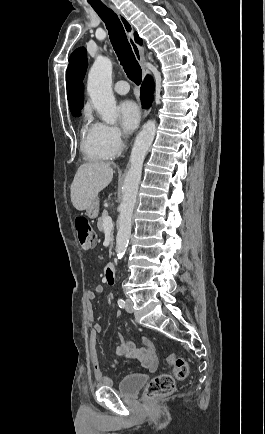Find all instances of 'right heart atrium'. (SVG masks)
I'll return each instance as SVG.
<instances>
[{
    "label": "right heart atrium",
    "mask_w": 265,
    "mask_h": 434,
    "mask_svg": "<svg viewBox=\"0 0 265 434\" xmlns=\"http://www.w3.org/2000/svg\"><path fill=\"white\" fill-rule=\"evenodd\" d=\"M98 130H103L101 132V141H115L116 144L106 145L104 151L106 154H124L125 148L124 144L129 139L128 132H121V128L117 125H107L104 119H101L96 125Z\"/></svg>",
    "instance_id": "d8ad5b80"
}]
</instances>
